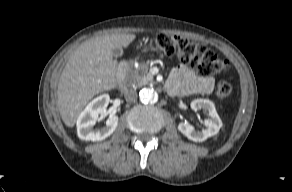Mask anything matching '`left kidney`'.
I'll return each mask as SVG.
<instances>
[{"instance_id":"1","label":"left kidney","mask_w":292,"mask_h":192,"mask_svg":"<svg viewBox=\"0 0 292 192\" xmlns=\"http://www.w3.org/2000/svg\"><path fill=\"white\" fill-rule=\"evenodd\" d=\"M190 106L194 111L203 109L208 113L210 118L204 121L206 128L202 131H196L192 125L181 122L178 125V130L194 142H203L207 138L216 135L222 127V121L217 114L214 103L208 99H195Z\"/></svg>"}]
</instances>
